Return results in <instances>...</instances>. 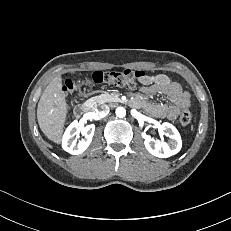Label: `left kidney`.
Returning <instances> with one entry per match:
<instances>
[{
    "instance_id": "5707ae66",
    "label": "left kidney",
    "mask_w": 231,
    "mask_h": 231,
    "mask_svg": "<svg viewBox=\"0 0 231 231\" xmlns=\"http://www.w3.org/2000/svg\"><path fill=\"white\" fill-rule=\"evenodd\" d=\"M161 129L165 135L170 137L169 144L166 142H156L150 136H145V147L149 153L159 158H168L177 154L182 147V140L178 130L170 123L164 122L161 125Z\"/></svg>"
}]
</instances>
